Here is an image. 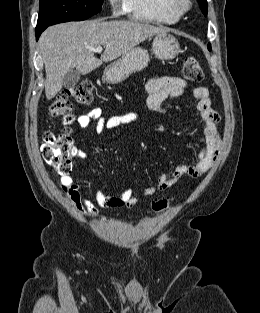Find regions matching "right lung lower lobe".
<instances>
[{"label": "right lung lower lobe", "mask_w": 260, "mask_h": 313, "mask_svg": "<svg viewBox=\"0 0 260 313\" xmlns=\"http://www.w3.org/2000/svg\"><path fill=\"white\" fill-rule=\"evenodd\" d=\"M45 26H37L36 27V39L38 40L40 34L46 29Z\"/></svg>", "instance_id": "right-lung-lower-lobe-1"}]
</instances>
